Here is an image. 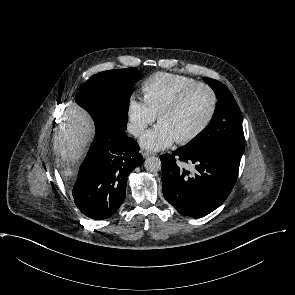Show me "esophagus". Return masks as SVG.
I'll return each instance as SVG.
<instances>
[{
	"label": "esophagus",
	"instance_id": "esophagus-1",
	"mask_svg": "<svg viewBox=\"0 0 295 295\" xmlns=\"http://www.w3.org/2000/svg\"><path fill=\"white\" fill-rule=\"evenodd\" d=\"M144 158H147L148 156L154 155L153 152L150 151H142L141 152Z\"/></svg>",
	"mask_w": 295,
	"mask_h": 295
}]
</instances>
